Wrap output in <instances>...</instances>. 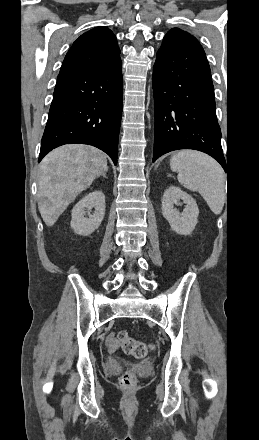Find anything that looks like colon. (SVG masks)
I'll return each instance as SVG.
<instances>
[{
	"label": "colon",
	"instance_id": "colon-1",
	"mask_svg": "<svg viewBox=\"0 0 259 440\" xmlns=\"http://www.w3.org/2000/svg\"><path fill=\"white\" fill-rule=\"evenodd\" d=\"M116 339L118 346H120L125 353L135 358H143L153 349L152 344L134 339L125 330H121L117 334ZM134 383L135 375L132 372H126L120 378V385L122 388L128 389L132 387Z\"/></svg>",
	"mask_w": 259,
	"mask_h": 440
}]
</instances>
